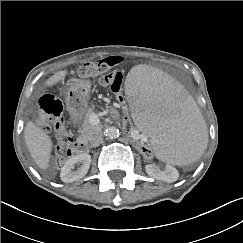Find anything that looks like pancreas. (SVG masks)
<instances>
[{
  "label": "pancreas",
  "instance_id": "1",
  "mask_svg": "<svg viewBox=\"0 0 243 243\" xmlns=\"http://www.w3.org/2000/svg\"><path fill=\"white\" fill-rule=\"evenodd\" d=\"M93 112H94V106L88 109V112L84 117V121L80 129L79 138L85 142H91L93 138L96 135H98L101 131L100 127L94 125L90 120V117Z\"/></svg>",
  "mask_w": 243,
  "mask_h": 243
}]
</instances>
